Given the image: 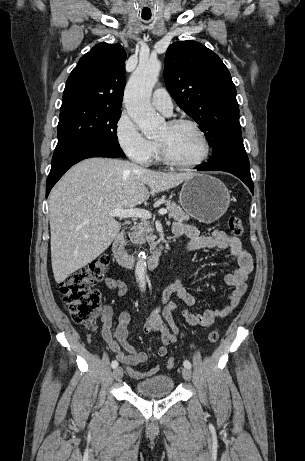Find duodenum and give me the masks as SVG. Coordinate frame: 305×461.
<instances>
[{
    "label": "duodenum",
    "mask_w": 305,
    "mask_h": 461,
    "mask_svg": "<svg viewBox=\"0 0 305 461\" xmlns=\"http://www.w3.org/2000/svg\"><path fill=\"white\" fill-rule=\"evenodd\" d=\"M112 257L116 263L122 266H132L137 260L134 256L128 254L125 250V236L123 233L118 234L111 246ZM164 255V249L158 248L153 250L148 258L146 259V264L148 268H155Z\"/></svg>",
    "instance_id": "1"
}]
</instances>
